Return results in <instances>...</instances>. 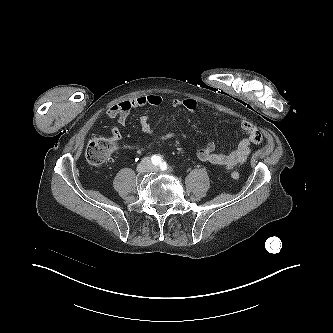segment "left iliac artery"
Wrapping results in <instances>:
<instances>
[{
    "label": "left iliac artery",
    "instance_id": "44dca946",
    "mask_svg": "<svg viewBox=\"0 0 333 333\" xmlns=\"http://www.w3.org/2000/svg\"><path fill=\"white\" fill-rule=\"evenodd\" d=\"M160 169H161L162 171L167 170V169H168V165H167V163H166V162H161V163H160Z\"/></svg>",
    "mask_w": 333,
    "mask_h": 333
}]
</instances>
